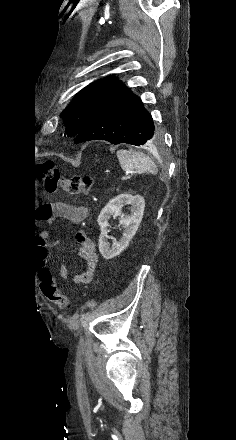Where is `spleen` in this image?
<instances>
[{"label": "spleen", "instance_id": "1", "mask_svg": "<svg viewBox=\"0 0 236 440\" xmlns=\"http://www.w3.org/2000/svg\"><path fill=\"white\" fill-rule=\"evenodd\" d=\"M121 168L126 172H134L138 174L158 172L154 161L142 152L121 149L116 153Z\"/></svg>", "mask_w": 236, "mask_h": 440}]
</instances>
